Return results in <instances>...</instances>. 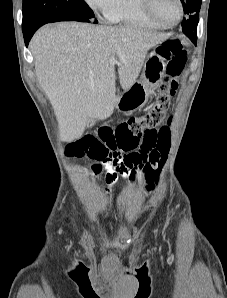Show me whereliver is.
<instances>
[{"instance_id":"liver-1","label":"liver","mask_w":227,"mask_h":298,"mask_svg":"<svg viewBox=\"0 0 227 298\" xmlns=\"http://www.w3.org/2000/svg\"><path fill=\"white\" fill-rule=\"evenodd\" d=\"M170 37L131 26L62 22L39 29L30 42L36 77L54 109L60 139L82 137L87 124L105 120L116 101L115 67L126 91L136 81L148 50Z\"/></svg>"}]
</instances>
